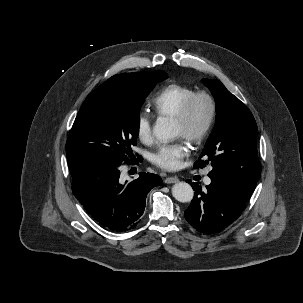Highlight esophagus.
<instances>
[{
  "label": "esophagus",
  "mask_w": 303,
  "mask_h": 303,
  "mask_svg": "<svg viewBox=\"0 0 303 303\" xmlns=\"http://www.w3.org/2000/svg\"><path fill=\"white\" fill-rule=\"evenodd\" d=\"M179 179L177 177H167L164 182L167 184L176 183Z\"/></svg>",
  "instance_id": "1"
}]
</instances>
